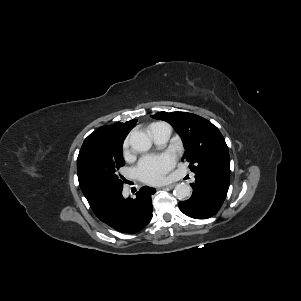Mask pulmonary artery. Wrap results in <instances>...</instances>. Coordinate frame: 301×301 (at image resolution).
I'll return each instance as SVG.
<instances>
[{
    "mask_svg": "<svg viewBox=\"0 0 301 301\" xmlns=\"http://www.w3.org/2000/svg\"><path fill=\"white\" fill-rule=\"evenodd\" d=\"M149 134L158 145L165 144L171 134V127L167 123H154L149 127Z\"/></svg>",
    "mask_w": 301,
    "mask_h": 301,
    "instance_id": "1",
    "label": "pulmonary artery"
}]
</instances>
